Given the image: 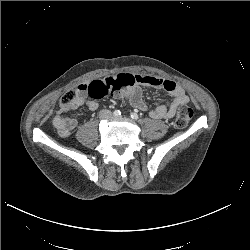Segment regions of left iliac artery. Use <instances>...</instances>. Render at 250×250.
Here are the masks:
<instances>
[{"mask_svg": "<svg viewBox=\"0 0 250 250\" xmlns=\"http://www.w3.org/2000/svg\"><path fill=\"white\" fill-rule=\"evenodd\" d=\"M130 116H131V118H132L133 120H137V119H138V115H137V113H135V112H132Z\"/></svg>", "mask_w": 250, "mask_h": 250, "instance_id": "left-iliac-artery-1", "label": "left iliac artery"}]
</instances>
